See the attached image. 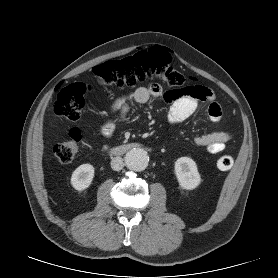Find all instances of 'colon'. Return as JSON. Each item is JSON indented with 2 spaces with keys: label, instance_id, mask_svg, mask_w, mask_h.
Wrapping results in <instances>:
<instances>
[{
  "label": "colon",
  "instance_id": "colon-1",
  "mask_svg": "<svg viewBox=\"0 0 278 278\" xmlns=\"http://www.w3.org/2000/svg\"><path fill=\"white\" fill-rule=\"evenodd\" d=\"M97 83L101 86L133 87L148 80L157 79L169 86L181 87L186 83L185 76L171 65L169 53L161 47L139 51L120 60L104 62L93 69ZM90 85L76 82L62 87L54 102L53 110L57 116L77 121L86 103ZM188 93L199 95L196 85H189L172 91V96ZM81 132L73 129L70 138L53 147V155L61 163H70L77 156ZM233 165L231 155L224 153L217 159V167L228 170Z\"/></svg>",
  "mask_w": 278,
  "mask_h": 278
}]
</instances>
